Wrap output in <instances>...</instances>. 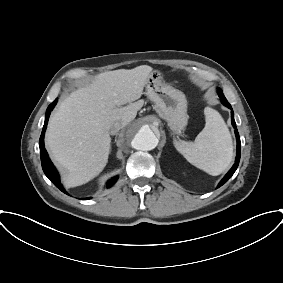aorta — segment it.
Wrapping results in <instances>:
<instances>
[{"label": "aorta", "instance_id": "obj_1", "mask_svg": "<svg viewBox=\"0 0 283 283\" xmlns=\"http://www.w3.org/2000/svg\"><path fill=\"white\" fill-rule=\"evenodd\" d=\"M131 145L136 150L149 151L158 145V139L147 125H140L131 130Z\"/></svg>", "mask_w": 283, "mask_h": 283}]
</instances>
